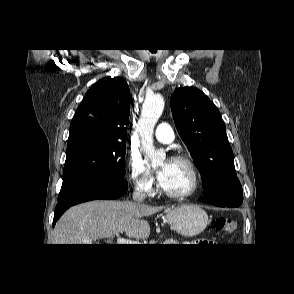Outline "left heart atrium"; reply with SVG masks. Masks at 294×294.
<instances>
[{
  "mask_svg": "<svg viewBox=\"0 0 294 294\" xmlns=\"http://www.w3.org/2000/svg\"><path fill=\"white\" fill-rule=\"evenodd\" d=\"M170 162H166L164 165H162V167L157 171V178L159 180V182H163V180L166 177V174L168 172V168H169Z\"/></svg>",
  "mask_w": 294,
  "mask_h": 294,
  "instance_id": "left-heart-atrium-1",
  "label": "left heart atrium"
}]
</instances>
